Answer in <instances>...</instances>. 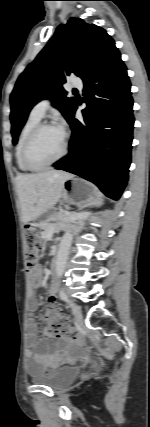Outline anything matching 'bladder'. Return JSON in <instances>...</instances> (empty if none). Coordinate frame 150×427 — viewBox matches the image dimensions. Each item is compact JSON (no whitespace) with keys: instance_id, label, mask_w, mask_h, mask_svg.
I'll list each match as a JSON object with an SVG mask.
<instances>
[{"instance_id":"obj_1","label":"bladder","mask_w":150,"mask_h":427,"mask_svg":"<svg viewBox=\"0 0 150 427\" xmlns=\"http://www.w3.org/2000/svg\"><path fill=\"white\" fill-rule=\"evenodd\" d=\"M79 374L80 368L77 366H62L32 377V382L53 390H61L71 384Z\"/></svg>"}]
</instances>
